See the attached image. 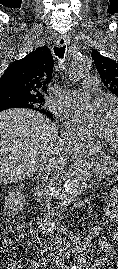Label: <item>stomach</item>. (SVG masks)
<instances>
[{
  "mask_svg": "<svg viewBox=\"0 0 118 269\" xmlns=\"http://www.w3.org/2000/svg\"><path fill=\"white\" fill-rule=\"evenodd\" d=\"M92 170L100 176H111L118 171V162L110 156H101L91 164Z\"/></svg>",
  "mask_w": 118,
  "mask_h": 269,
  "instance_id": "stomach-1",
  "label": "stomach"
}]
</instances>
